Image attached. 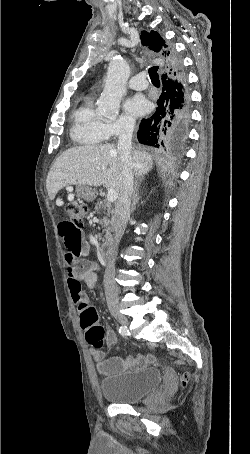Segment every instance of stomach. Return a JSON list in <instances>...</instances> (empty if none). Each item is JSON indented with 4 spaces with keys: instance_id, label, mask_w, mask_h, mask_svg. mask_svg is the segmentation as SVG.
Listing matches in <instances>:
<instances>
[{
    "instance_id": "stomach-1",
    "label": "stomach",
    "mask_w": 250,
    "mask_h": 454,
    "mask_svg": "<svg viewBox=\"0 0 250 454\" xmlns=\"http://www.w3.org/2000/svg\"><path fill=\"white\" fill-rule=\"evenodd\" d=\"M77 196L86 201H93L96 196V192L89 186L80 185L77 189Z\"/></svg>"
}]
</instances>
